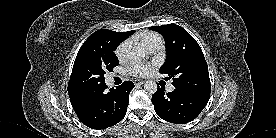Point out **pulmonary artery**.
<instances>
[{
    "label": "pulmonary artery",
    "instance_id": "1",
    "mask_svg": "<svg viewBox=\"0 0 276 138\" xmlns=\"http://www.w3.org/2000/svg\"><path fill=\"white\" fill-rule=\"evenodd\" d=\"M160 47H161V45L152 46V47L149 49V51L152 52V53L157 52V51L160 49ZM167 90H168L169 92H172V91L174 90V86L171 85V84L168 85Z\"/></svg>",
    "mask_w": 276,
    "mask_h": 138
}]
</instances>
